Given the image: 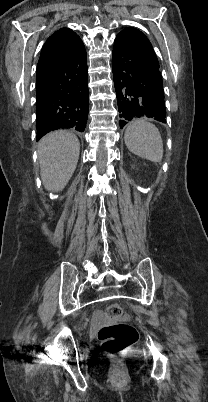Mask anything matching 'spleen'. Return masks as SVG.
<instances>
[{"label":"spleen","instance_id":"1","mask_svg":"<svg viewBox=\"0 0 208 402\" xmlns=\"http://www.w3.org/2000/svg\"><path fill=\"white\" fill-rule=\"evenodd\" d=\"M124 140L128 150L135 156L150 162H162L163 140L154 124L133 120L125 130Z\"/></svg>","mask_w":208,"mask_h":402}]
</instances>
